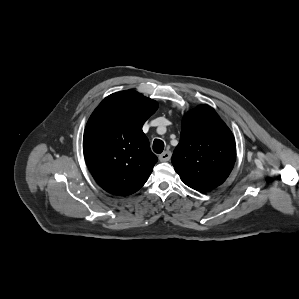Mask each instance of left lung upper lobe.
Segmentation results:
<instances>
[{"label": "left lung upper lobe", "mask_w": 299, "mask_h": 299, "mask_svg": "<svg viewBox=\"0 0 299 299\" xmlns=\"http://www.w3.org/2000/svg\"><path fill=\"white\" fill-rule=\"evenodd\" d=\"M236 160L233 134L208 105L187 113L172 164L181 180L197 191H209L229 176Z\"/></svg>", "instance_id": "5c2ea615"}]
</instances>
